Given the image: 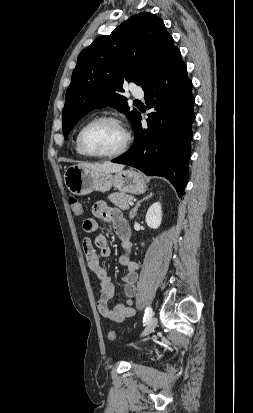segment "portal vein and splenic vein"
Returning a JSON list of instances; mask_svg holds the SVG:
<instances>
[{"label":"portal vein and splenic vein","mask_w":253,"mask_h":413,"mask_svg":"<svg viewBox=\"0 0 253 413\" xmlns=\"http://www.w3.org/2000/svg\"><path fill=\"white\" fill-rule=\"evenodd\" d=\"M129 204H130V205H133V202L131 201V202H129Z\"/></svg>","instance_id":"portal-vein-and-splenic-vein-1"}]
</instances>
